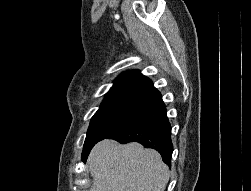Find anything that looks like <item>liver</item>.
Instances as JSON below:
<instances>
[{"label": "liver", "mask_w": 251, "mask_h": 191, "mask_svg": "<svg viewBox=\"0 0 251 191\" xmlns=\"http://www.w3.org/2000/svg\"><path fill=\"white\" fill-rule=\"evenodd\" d=\"M87 163L93 177L90 191H164L170 177L160 153L137 141L120 145L103 139L94 145Z\"/></svg>", "instance_id": "liver-1"}]
</instances>
